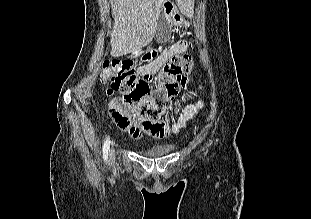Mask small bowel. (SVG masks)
<instances>
[{
    "label": "small bowel",
    "mask_w": 311,
    "mask_h": 219,
    "mask_svg": "<svg viewBox=\"0 0 311 219\" xmlns=\"http://www.w3.org/2000/svg\"><path fill=\"white\" fill-rule=\"evenodd\" d=\"M188 49V44L185 41H177L166 48L157 59L139 67L138 71L141 75H153L169 58L177 54H186ZM191 96H194L193 92ZM204 106V99L199 98L187 105L173 121L168 119L153 122L148 121L140 115L135 106L127 105L122 102L118 103L116 109H114L113 102H111L108 112L116 126L120 130L128 132L134 138H140L143 134H149L158 139H165L171 135L177 134L189 120L197 116Z\"/></svg>",
    "instance_id": "small-bowel-1"
}]
</instances>
